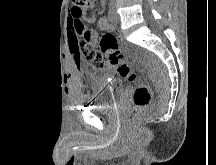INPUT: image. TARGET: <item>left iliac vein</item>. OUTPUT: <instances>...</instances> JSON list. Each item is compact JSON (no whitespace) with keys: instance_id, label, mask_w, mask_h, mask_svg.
Listing matches in <instances>:
<instances>
[{"instance_id":"4c4485c4","label":"left iliac vein","mask_w":216,"mask_h":165,"mask_svg":"<svg viewBox=\"0 0 216 165\" xmlns=\"http://www.w3.org/2000/svg\"><path fill=\"white\" fill-rule=\"evenodd\" d=\"M115 19L118 20V16L117 15H115Z\"/></svg>"}]
</instances>
